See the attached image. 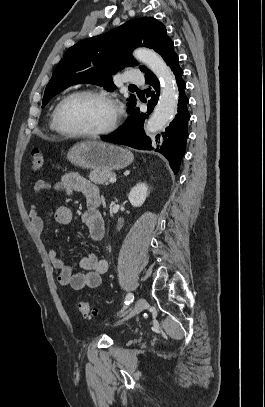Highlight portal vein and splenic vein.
<instances>
[{"mask_svg": "<svg viewBox=\"0 0 265 407\" xmlns=\"http://www.w3.org/2000/svg\"><path fill=\"white\" fill-rule=\"evenodd\" d=\"M109 182H110V183L116 182V177H111V178L109 179Z\"/></svg>", "mask_w": 265, "mask_h": 407, "instance_id": "18ae733b", "label": "portal vein and splenic vein"}]
</instances>
